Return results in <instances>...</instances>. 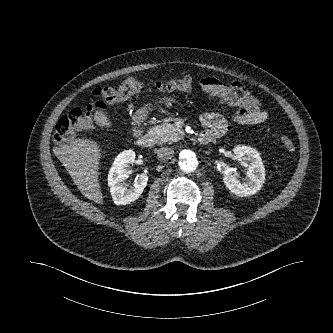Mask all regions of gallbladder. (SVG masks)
Here are the masks:
<instances>
[{
	"instance_id": "gallbladder-1",
	"label": "gallbladder",
	"mask_w": 333,
	"mask_h": 333,
	"mask_svg": "<svg viewBox=\"0 0 333 333\" xmlns=\"http://www.w3.org/2000/svg\"><path fill=\"white\" fill-rule=\"evenodd\" d=\"M95 122L98 124V126L103 127V126H111V121L108 119L106 113L97 110L95 112Z\"/></svg>"
}]
</instances>
